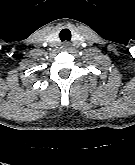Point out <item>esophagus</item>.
<instances>
[{"mask_svg":"<svg viewBox=\"0 0 135 165\" xmlns=\"http://www.w3.org/2000/svg\"><path fill=\"white\" fill-rule=\"evenodd\" d=\"M70 47H71V44H70L69 42H67V41L64 42L63 45H62V48H63L64 50H69Z\"/></svg>","mask_w":135,"mask_h":165,"instance_id":"obj_1","label":"esophagus"}]
</instances>
